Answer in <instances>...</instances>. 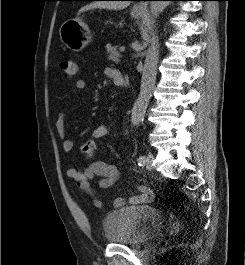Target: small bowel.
Returning a JSON list of instances; mask_svg holds the SVG:
<instances>
[{"mask_svg":"<svg viewBox=\"0 0 245 265\" xmlns=\"http://www.w3.org/2000/svg\"><path fill=\"white\" fill-rule=\"evenodd\" d=\"M105 74L115 80L117 76L121 73L114 68H106ZM87 90V83L84 80H78L74 83L73 91L80 92ZM65 122L66 114L64 112L60 113L57 117L55 128L58 136L62 140V148L64 151L69 152L73 149L72 140L66 137L65 132ZM110 134V129L107 125L101 124L96 126L92 131V138L94 140L102 139ZM93 141V140H91ZM94 142V141H93ZM67 176L74 180L78 190L89 197L92 198L93 204L98 207H103V202L98 198L96 191L92 187V182H95L99 188H110L112 187L120 178V171L116 165L106 163L101 160H95L89 163L83 169L69 168L67 170ZM138 194L131 197L129 202L132 204H145L150 203L154 200L155 196L152 191L147 186L138 185ZM125 200L121 197L115 198L113 200L112 206L115 209L121 208L125 205Z\"/></svg>","mask_w":245,"mask_h":265,"instance_id":"small-bowel-1","label":"small bowel"}]
</instances>
